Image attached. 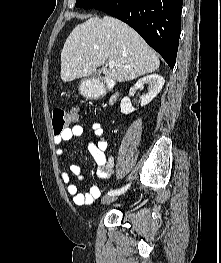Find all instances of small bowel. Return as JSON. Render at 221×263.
Here are the masks:
<instances>
[{
    "label": "small bowel",
    "instance_id": "small-bowel-1",
    "mask_svg": "<svg viewBox=\"0 0 221 263\" xmlns=\"http://www.w3.org/2000/svg\"><path fill=\"white\" fill-rule=\"evenodd\" d=\"M92 133L98 138L96 142L88 141L87 147L90 155L97 164L96 174L101 179H110L114 175V160L106 156L108 142L104 138L103 126L100 123H93L91 125ZM83 127L81 125H73L66 128L61 135L54 136V144L56 145L55 154L61 160H66V152L62 145L73 138L82 136ZM70 173L79 179H84L86 174L79 164H72L70 166ZM63 171L61 179L66 185V192L72 197L73 202L77 206L91 205L99 196V186L90 185L86 192H80L76 184L71 180V174Z\"/></svg>",
    "mask_w": 221,
    "mask_h": 263
}]
</instances>
